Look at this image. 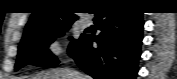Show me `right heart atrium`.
<instances>
[{
  "label": "right heart atrium",
  "mask_w": 177,
  "mask_h": 79,
  "mask_svg": "<svg viewBox=\"0 0 177 79\" xmlns=\"http://www.w3.org/2000/svg\"><path fill=\"white\" fill-rule=\"evenodd\" d=\"M46 52L51 57H60L64 53V38L57 34L46 43Z\"/></svg>",
  "instance_id": "obj_1"
}]
</instances>
